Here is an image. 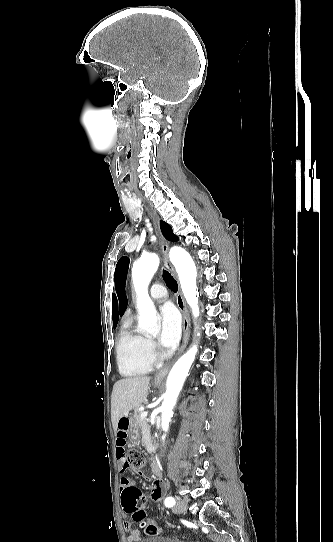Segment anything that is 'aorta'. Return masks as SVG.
Instances as JSON below:
<instances>
[{"instance_id":"aorta-1","label":"aorta","mask_w":333,"mask_h":542,"mask_svg":"<svg viewBox=\"0 0 333 542\" xmlns=\"http://www.w3.org/2000/svg\"><path fill=\"white\" fill-rule=\"evenodd\" d=\"M172 264L179 276L183 296L192 310L194 318L199 316V306L197 298V270L196 266L188 252L183 248L174 246L170 252ZM160 260L157 254H146L141 256L138 262H135L132 268V278L137 294L136 308L139 312L138 330L139 332H151L154 334L157 330V310L148 294V286L159 268ZM200 336V334H198ZM198 352V346L193 344L192 348L183 354L172 370H170L166 382L165 398L161 406V426L164 432H168L169 422L172 418L173 408L177 402L179 392L188 376V372L195 360ZM164 440V436H163Z\"/></svg>"}]
</instances>
